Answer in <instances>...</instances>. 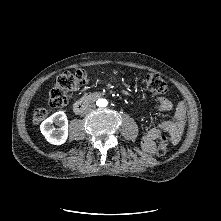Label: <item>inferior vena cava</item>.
Masks as SVG:
<instances>
[{
    "label": "inferior vena cava",
    "mask_w": 221,
    "mask_h": 221,
    "mask_svg": "<svg viewBox=\"0 0 221 221\" xmlns=\"http://www.w3.org/2000/svg\"><path fill=\"white\" fill-rule=\"evenodd\" d=\"M94 109H95V105H94V104H90V105L87 107L86 112H90V111H92V110H94Z\"/></svg>",
    "instance_id": "1"
}]
</instances>
